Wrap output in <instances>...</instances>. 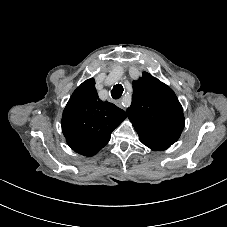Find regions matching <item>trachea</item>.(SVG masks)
I'll return each mask as SVG.
<instances>
[{
	"label": "trachea",
	"mask_w": 227,
	"mask_h": 227,
	"mask_svg": "<svg viewBox=\"0 0 227 227\" xmlns=\"http://www.w3.org/2000/svg\"><path fill=\"white\" fill-rule=\"evenodd\" d=\"M124 89L121 84H116L111 90V96L113 99H119L122 96Z\"/></svg>",
	"instance_id": "1"
}]
</instances>
